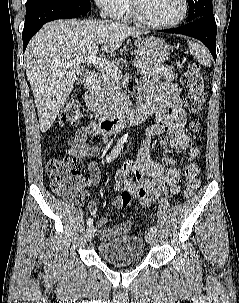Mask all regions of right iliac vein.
Returning <instances> with one entry per match:
<instances>
[{"label": "right iliac vein", "instance_id": "right-iliac-vein-1", "mask_svg": "<svg viewBox=\"0 0 239 303\" xmlns=\"http://www.w3.org/2000/svg\"><path fill=\"white\" fill-rule=\"evenodd\" d=\"M96 233V228L94 225H90L86 230V240L91 241Z\"/></svg>", "mask_w": 239, "mask_h": 303}]
</instances>
